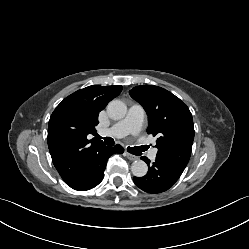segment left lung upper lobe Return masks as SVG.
<instances>
[{
  "label": "left lung upper lobe",
  "mask_w": 249,
  "mask_h": 249,
  "mask_svg": "<svg viewBox=\"0 0 249 249\" xmlns=\"http://www.w3.org/2000/svg\"><path fill=\"white\" fill-rule=\"evenodd\" d=\"M129 94L148 115L147 132L157 137L156 158L185 168L194 140L189 108L169 91L153 85L134 87Z\"/></svg>",
  "instance_id": "1"
}]
</instances>
